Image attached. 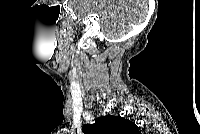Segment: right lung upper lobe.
Masks as SVG:
<instances>
[{
	"label": "right lung upper lobe",
	"instance_id": "cb5924a9",
	"mask_svg": "<svg viewBox=\"0 0 200 134\" xmlns=\"http://www.w3.org/2000/svg\"><path fill=\"white\" fill-rule=\"evenodd\" d=\"M85 134H136L137 126L120 116H102L84 128Z\"/></svg>",
	"mask_w": 200,
	"mask_h": 134
}]
</instances>
